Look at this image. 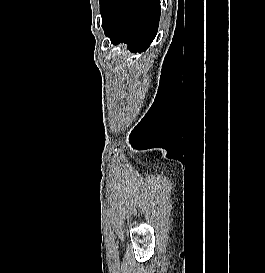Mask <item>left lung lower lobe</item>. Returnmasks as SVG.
Instances as JSON below:
<instances>
[{
  "label": "left lung lower lobe",
  "mask_w": 265,
  "mask_h": 273,
  "mask_svg": "<svg viewBox=\"0 0 265 273\" xmlns=\"http://www.w3.org/2000/svg\"><path fill=\"white\" fill-rule=\"evenodd\" d=\"M106 12L102 21L112 44L127 43L132 51H145L155 38L160 19V0H100Z\"/></svg>",
  "instance_id": "1"
}]
</instances>
